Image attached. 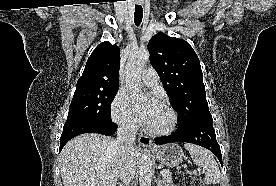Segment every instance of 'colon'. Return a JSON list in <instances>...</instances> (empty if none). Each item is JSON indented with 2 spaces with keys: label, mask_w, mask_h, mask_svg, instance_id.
Returning a JSON list of instances; mask_svg holds the SVG:
<instances>
[{
  "label": "colon",
  "mask_w": 276,
  "mask_h": 186,
  "mask_svg": "<svg viewBox=\"0 0 276 186\" xmlns=\"http://www.w3.org/2000/svg\"><path fill=\"white\" fill-rule=\"evenodd\" d=\"M174 179L176 186H204L201 179L183 173H177Z\"/></svg>",
  "instance_id": "5ec220e1"
}]
</instances>
